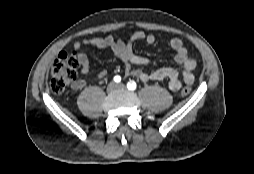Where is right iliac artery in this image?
I'll list each match as a JSON object with an SVG mask.
<instances>
[{"mask_svg": "<svg viewBox=\"0 0 254 174\" xmlns=\"http://www.w3.org/2000/svg\"><path fill=\"white\" fill-rule=\"evenodd\" d=\"M114 81L116 82V83H119L120 81H121V77L120 76H115L114 77Z\"/></svg>", "mask_w": 254, "mask_h": 174, "instance_id": "obj_1", "label": "right iliac artery"}]
</instances>
